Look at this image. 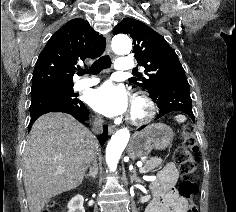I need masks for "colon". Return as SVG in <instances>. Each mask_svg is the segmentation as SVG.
I'll use <instances>...</instances> for the list:
<instances>
[{"label":"colon","instance_id":"colon-1","mask_svg":"<svg viewBox=\"0 0 236 212\" xmlns=\"http://www.w3.org/2000/svg\"><path fill=\"white\" fill-rule=\"evenodd\" d=\"M174 160L179 166V169L185 178L180 185V194L190 200L187 212H199L197 205L194 203V198L197 194L196 183L188 177L196 169V164L199 161V148L196 143L193 128L186 126L181 135V144L176 149ZM53 203L49 202L48 207L43 212H51Z\"/></svg>","mask_w":236,"mask_h":212}]
</instances>
